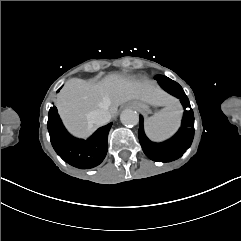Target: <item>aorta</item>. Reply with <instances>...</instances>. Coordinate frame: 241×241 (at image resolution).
I'll use <instances>...</instances> for the list:
<instances>
[{
    "instance_id": "762f6f07",
    "label": "aorta",
    "mask_w": 241,
    "mask_h": 241,
    "mask_svg": "<svg viewBox=\"0 0 241 241\" xmlns=\"http://www.w3.org/2000/svg\"><path fill=\"white\" fill-rule=\"evenodd\" d=\"M120 121L124 126L133 127L139 122V115L136 111L125 109L121 112Z\"/></svg>"
}]
</instances>
